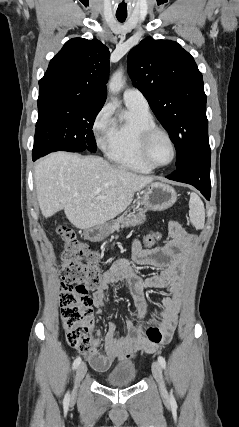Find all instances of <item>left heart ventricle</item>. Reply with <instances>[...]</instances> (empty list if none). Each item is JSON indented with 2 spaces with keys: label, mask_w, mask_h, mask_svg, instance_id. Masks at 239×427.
Here are the masks:
<instances>
[{
  "label": "left heart ventricle",
  "mask_w": 239,
  "mask_h": 427,
  "mask_svg": "<svg viewBox=\"0 0 239 427\" xmlns=\"http://www.w3.org/2000/svg\"><path fill=\"white\" fill-rule=\"evenodd\" d=\"M149 155L156 164L167 163L172 156V149L168 140L162 135H157L151 143Z\"/></svg>",
  "instance_id": "1"
}]
</instances>
